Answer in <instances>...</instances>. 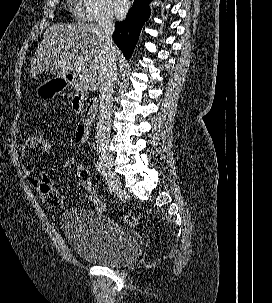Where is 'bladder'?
Wrapping results in <instances>:
<instances>
[{
	"mask_svg": "<svg viewBox=\"0 0 272 303\" xmlns=\"http://www.w3.org/2000/svg\"><path fill=\"white\" fill-rule=\"evenodd\" d=\"M61 228L76 255L90 263L123 266L140 253L139 244L129 230L91 209H66Z\"/></svg>",
	"mask_w": 272,
	"mask_h": 303,
	"instance_id": "bladder-1",
	"label": "bladder"
}]
</instances>
